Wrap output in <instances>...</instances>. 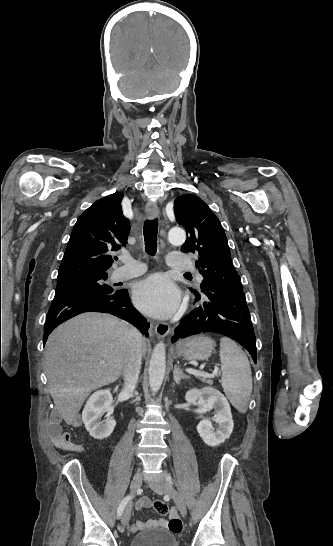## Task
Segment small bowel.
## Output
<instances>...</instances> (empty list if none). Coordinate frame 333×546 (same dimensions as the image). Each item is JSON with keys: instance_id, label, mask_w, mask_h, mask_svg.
Instances as JSON below:
<instances>
[{"instance_id": "1", "label": "small bowel", "mask_w": 333, "mask_h": 546, "mask_svg": "<svg viewBox=\"0 0 333 546\" xmlns=\"http://www.w3.org/2000/svg\"><path fill=\"white\" fill-rule=\"evenodd\" d=\"M62 419L60 417H52L48 424V434L51 439V442L58 448L76 452V453H84L85 449L83 446L79 444H75L71 441V437L69 434L64 433L62 431L61 426ZM74 425H78L76 422H74ZM150 501L147 498H144L140 501L139 507H149ZM170 520L167 522L166 520H159V521H149L147 523L137 521L134 523L130 530L132 532H137L145 525H151L154 523H160V524H168L170 529L176 533L180 532L181 530V523L178 520V513L176 509L172 508L169 513Z\"/></svg>"}]
</instances>
